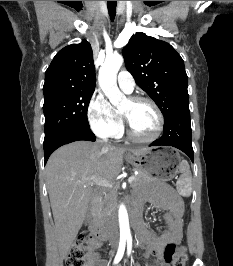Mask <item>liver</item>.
<instances>
[{
    "label": "liver",
    "mask_w": 233,
    "mask_h": 266,
    "mask_svg": "<svg viewBox=\"0 0 233 266\" xmlns=\"http://www.w3.org/2000/svg\"><path fill=\"white\" fill-rule=\"evenodd\" d=\"M147 148L126 149L88 141H76L56 150L46 165L47 187L60 251V263L68 255L86 215L92 196L86 178L114 179L123 156L143 154Z\"/></svg>",
    "instance_id": "6515ba94"
}]
</instances>
